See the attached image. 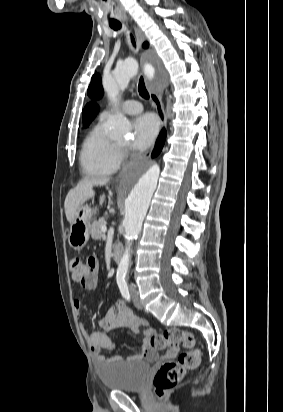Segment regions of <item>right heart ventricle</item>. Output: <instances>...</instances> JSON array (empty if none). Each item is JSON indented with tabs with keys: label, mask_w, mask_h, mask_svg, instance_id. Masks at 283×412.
<instances>
[{
	"label": "right heart ventricle",
	"mask_w": 283,
	"mask_h": 412,
	"mask_svg": "<svg viewBox=\"0 0 283 412\" xmlns=\"http://www.w3.org/2000/svg\"><path fill=\"white\" fill-rule=\"evenodd\" d=\"M122 152L118 145L109 139L100 121L84 140L80 153V165L87 176H108L121 166Z\"/></svg>",
	"instance_id": "e07e8e85"
}]
</instances>
